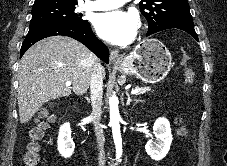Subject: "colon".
I'll use <instances>...</instances> for the list:
<instances>
[{
    "label": "colon",
    "mask_w": 227,
    "mask_h": 166,
    "mask_svg": "<svg viewBox=\"0 0 227 166\" xmlns=\"http://www.w3.org/2000/svg\"><path fill=\"white\" fill-rule=\"evenodd\" d=\"M179 62L185 69L186 78L191 80L194 76V69L191 67V58L187 52H182ZM50 120L51 116L49 112L47 110H43L36 123L29 130V140L27 142L26 152L24 155L25 163L28 166L39 165L40 141L43 137L44 129ZM185 133V128L180 125V134L185 135Z\"/></svg>",
    "instance_id": "obj_1"
}]
</instances>
